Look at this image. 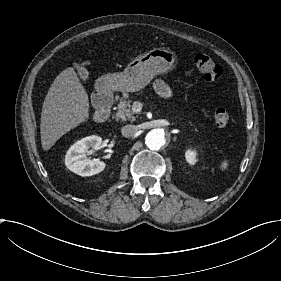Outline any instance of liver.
<instances>
[{"label": "liver", "mask_w": 281, "mask_h": 281, "mask_svg": "<svg viewBox=\"0 0 281 281\" xmlns=\"http://www.w3.org/2000/svg\"><path fill=\"white\" fill-rule=\"evenodd\" d=\"M89 101L87 93L73 68L60 72L45 96L40 133L43 149H49L55 141L86 119Z\"/></svg>", "instance_id": "1"}]
</instances>
